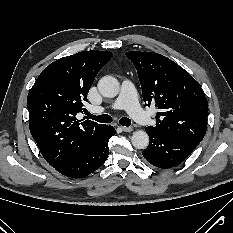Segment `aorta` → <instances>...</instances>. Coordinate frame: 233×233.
Returning <instances> with one entry per match:
<instances>
[{"label": "aorta", "mask_w": 233, "mask_h": 233, "mask_svg": "<svg viewBox=\"0 0 233 233\" xmlns=\"http://www.w3.org/2000/svg\"><path fill=\"white\" fill-rule=\"evenodd\" d=\"M99 92L107 98L117 96L120 90L119 81L112 76H104L98 82ZM132 145L137 149H145L149 144V136L145 131H135L131 137Z\"/></svg>", "instance_id": "762f6f07"}]
</instances>
